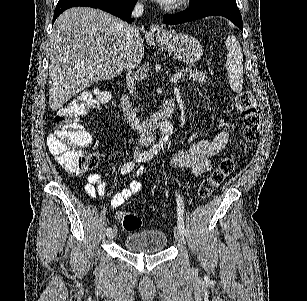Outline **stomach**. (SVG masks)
I'll list each match as a JSON object with an SVG mask.
<instances>
[{
    "label": "stomach",
    "mask_w": 307,
    "mask_h": 301,
    "mask_svg": "<svg viewBox=\"0 0 307 301\" xmlns=\"http://www.w3.org/2000/svg\"><path fill=\"white\" fill-rule=\"evenodd\" d=\"M155 40H158L159 44L166 48L168 52H172L175 58L183 60L186 64H193L203 54L201 42L195 36H190L185 32H168V30H164V32L155 34Z\"/></svg>",
    "instance_id": "0dacf381"
}]
</instances>
